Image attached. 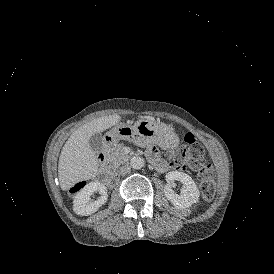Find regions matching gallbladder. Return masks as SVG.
Segmentation results:
<instances>
[{
	"mask_svg": "<svg viewBox=\"0 0 274 274\" xmlns=\"http://www.w3.org/2000/svg\"><path fill=\"white\" fill-rule=\"evenodd\" d=\"M103 141L104 136L102 132H97L89 138V145L94 152L99 153L103 149Z\"/></svg>",
	"mask_w": 274,
	"mask_h": 274,
	"instance_id": "obj_1",
	"label": "gallbladder"
}]
</instances>
